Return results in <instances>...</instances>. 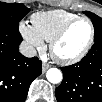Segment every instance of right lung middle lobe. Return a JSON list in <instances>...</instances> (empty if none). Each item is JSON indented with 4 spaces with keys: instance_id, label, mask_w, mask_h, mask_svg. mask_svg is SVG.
<instances>
[{
    "instance_id": "dd1d6c3e",
    "label": "right lung middle lobe",
    "mask_w": 102,
    "mask_h": 102,
    "mask_svg": "<svg viewBox=\"0 0 102 102\" xmlns=\"http://www.w3.org/2000/svg\"><path fill=\"white\" fill-rule=\"evenodd\" d=\"M30 11L22 3H0V30H18L20 20Z\"/></svg>"
}]
</instances>
